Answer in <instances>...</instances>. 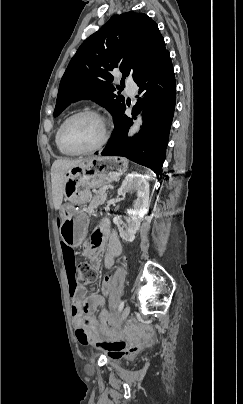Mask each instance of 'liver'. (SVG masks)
<instances>
[{
	"label": "liver",
	"instance_id": "liver-1",
	"mask_svg": "<svg viewBox=\"0 0 243 404\" xmlns=\"http://www.w3.org/2000/svg\"><path fill=\"white\" fill-rule=\"evenodd\" d=\"M89 162V158H79V160H70L62 158L55 160L51 168L52 200L55 210H60L64 196V174L69 168H74L78 164Z\"/></svg>",
	"mask_w": 243,
	"mask_h": 404
}]
</instances>
